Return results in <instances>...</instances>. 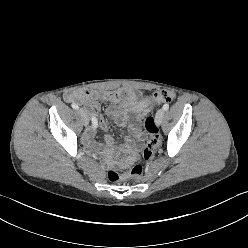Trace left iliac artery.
I'll use <instances>...</instances> for the list:
<instances>
[{"label": "left iliac artery", "mask_w": 248, "mask_h": 248, "mask_svg": "<svg viewBox=\"0 0 248 248\" xmlns=\"http://www.w3.org/2000/svg\"><path fill=\"white\" fill-rule=\"evenodd\" d=\"M168 109H169V104H167V103L164 104V105H163V110H164V111H167Z\"/></svg>", "instance_id": "44dca946"}]
</instances>
